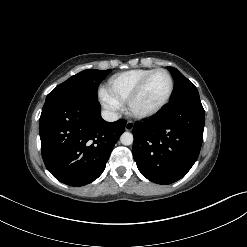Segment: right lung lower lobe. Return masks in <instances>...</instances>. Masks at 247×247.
<instances>
[{"label":"right lung lower lobe","instance_id":"right-lung-lower-lobe-1","mask_svg":"<svg viewBox=\"0 0 247 247\" xmlns=\"http://www.w3.org/2000/svg\"><path fill=\"white\" fill-rule=\"evenodd\" d=\"M97 100L77 97L48 99L40 117L43 161L60 182L83 186L96 180L126 122H106Z\"/></svg>","mask_w":247,"mask_h":247}]
</instances>
